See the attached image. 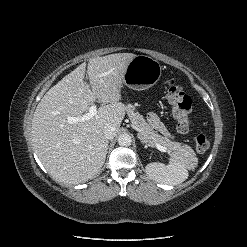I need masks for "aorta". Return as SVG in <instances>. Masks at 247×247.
<instances>
[{"label": "aorta", "instance_id": "obj_1", "mask_svg": "<svg viewBox=\"0 0 247 247\" xmlns=\"http://www.w3.org/2000/svg\"><path fill=\"white\" fill-rule=\"evenodd\" d=\"M132 143V138L129 134L124 133L118 137V144L123 147H128Z\"/></svg>", "mask_w": 247, "mask_h": 247}]
</instances>
